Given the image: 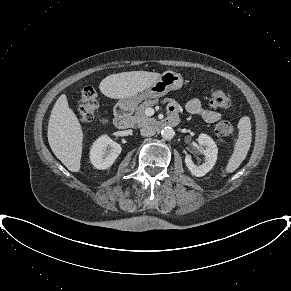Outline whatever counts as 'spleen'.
I'll list each match as a JSON object with an SVG mask.
<instances>
[{"label":"spleen","mask_w":291,"mask_h":291,"mask_svg":"<svg viewBox=\"0 0 291 291\" xmlns=\"http://www.w3.org/2000/svg\"><path fill=\"white\" fill-rule=\"evenodd\" d=\"M239 137L235 143L234 151L228 160L226 172H234L246 158L251 145V124L248 117H243L238 123Z\"/></svg>","instance_id":"spleen-1"}]
</instances>
